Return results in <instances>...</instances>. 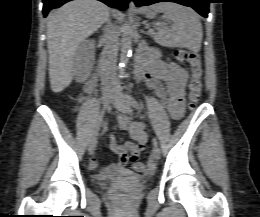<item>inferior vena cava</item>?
<instances>
[{"label": "inferior vena cava", "mask_w": 260, "mask_h": 217, "mask_svg": "<svg viewBox=\"0 0 260 217\" xmlns=\"http://www.w3.org/2000/svg\"><path fill=\"white\" fill-rule=\"evenodd\" d=\"M119 33V28L111 23L104 29L105 46L101 59V80L104 87L114 86L117 83L114 71L118 55Z\"/></svg>", "instance_id": "obj_1"}]
</instances>
